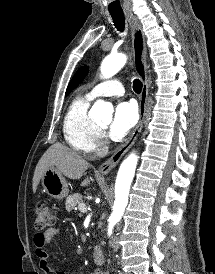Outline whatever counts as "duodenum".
I'll use <instances>...</instances> for the list:
<instances>
[{
    "instance_id": "1",
    "label": "duodenum",
    "mask_w": 215,
    "mask_h": 274,
    "mask_svg": "<svg viewBox=\"0 0 215 274\" xmlns=\"http://www.w3.org/2000/svg\"><path fill=\"white\" fill-rule=\"evenodd\" d=\"M93 259L97 265H102L104 263V253L100 247H95L93 250Z\"/></svg>"
}]
</instances>
